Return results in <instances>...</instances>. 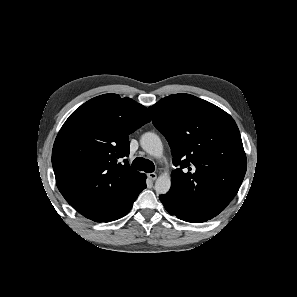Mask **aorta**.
Masks as SVG:
<instances>
[{
	"mask_svg": "<svg viewBox=\"0 0 297 297\" xmlns=\"http://www.w3.org/2000/svg\"><path fill=\"white\" fill-rule=\"evenodd\" d=\"M140 145L144 151L154 157H161L163 145L159 136L152 132H147L141 136ZM171 178L168 173L160 175L155 182L154 189L157 194H165L170 190Z\"/></svg>",
	"mask_w": 297,
	"mask_h": 297,
	"instance_id": "762f6f07",
	"label": "aorta"
}]
</instances>
